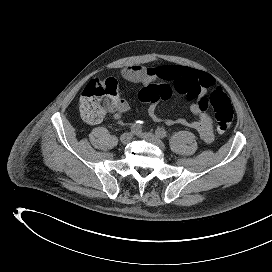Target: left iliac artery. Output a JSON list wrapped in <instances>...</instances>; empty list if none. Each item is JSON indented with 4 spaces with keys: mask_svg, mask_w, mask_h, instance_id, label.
Instances as JSON below:
<instances>
[{
    "mask_svg": "<svg viewBox=\"0 0 272 272\" xmlns=\"http://www.w3.org/2000/svg\"><path fill=\"white\" fill-rule=\"evenodd\" d=\"M156 135L160 138H165L167 136V132L165 129L163 128H158L156 131H155Z\"/></svg>",
    "mask_w": 272,
    "mask_h": 272,
    "instance_id": "1",
    "label": "left iliac artery"
}]
</instances>
